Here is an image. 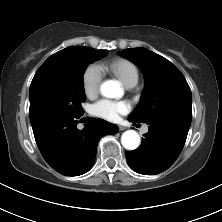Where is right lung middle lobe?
Instances as JSON below:
<instances>
[{"label": "right lung middle lobe", "instance_id": "right-lung-middle-lobe-1", "mask_svg": "<svg viewBox=\"0 0 222 222\" xmlns=\"http://www.w3.org/2000/svg\"><path fill=\"white\" fill-rule=\"evenodd\" d=\"M107 52L71 46L51 55L36 72L29 90L32 124L51 115H81L85 101L83 73Z\"/></svg>", "mask_w": 222, "mask_h": 222}]
</instances>
